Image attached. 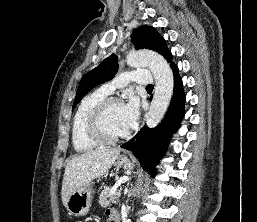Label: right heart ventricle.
Segmentation results:
<instances>
[{
    "instance_id": "right-heart-ventricle-1",
    "label": "right heart ventricle",
    "mask_w": 257,
    "mask_h": 222,
    "mask_svg": "<svg viewBox=\"0 0 257 222\" xmlns=\"http://www.w3.org/2000/svg\"><path fill=\"white\" fill-rule=\"evenodd\" d=\"M106 97L107 93L99 89L85 96L80 102L71 124L72 145L77 152L90 151L99 146L87 133L86 122L91 110Z\"/></svg>"
}]
</instances>
